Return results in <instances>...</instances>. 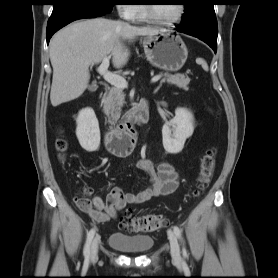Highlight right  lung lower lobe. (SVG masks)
Here are the masks:
<instances>
[{"instance_id":"right-lung-lower-lobe-1","label":"right lung lower lobe","mask_w":278,"mask_h":278,"mask_svg":"<svg viewBox=\"0 0 278 278\" xmlns=\"http://www.w3.org/2000/svg\"><path fill=\"white\" fill-rule=\"evenodd\" d=\"M106 13L107 12L98 11L82 6H69L62 8L57 13L52 14L48 20L46 31L47 43H49L50 38L57 30L64 27L68 23L78 19L103 16Z\"/></svg>"}]
</instances>
